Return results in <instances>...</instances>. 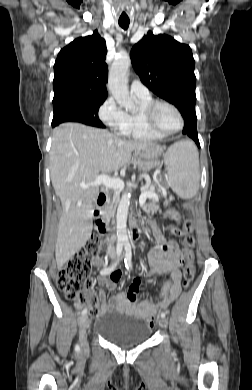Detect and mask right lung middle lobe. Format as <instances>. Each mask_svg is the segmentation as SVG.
Listing matches in <instances>:
<instances>
[{
    "label": "right lung middle lobe",
    "mask_w": 252,
    "mask_h": 390,
    "mask_svg": "<svg viewBox=\"0 0 252 390\" xmlns=\"http://www.w3.org/2000/svg\"><path fill=\"white\" fill-rule=\"evenodd\" d=\"M105 99L67 98L53 102L52 126L63 122H80L105 128L98 118L99 107Z\"/></svg>",
    "instance_id": "dd1d6c3e"
}]
</instances>
